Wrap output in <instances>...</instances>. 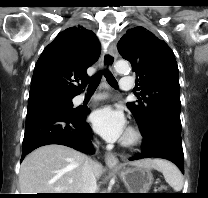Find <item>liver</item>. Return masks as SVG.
<instances>
[{"instance_id": "6515ba94", "label": "liver", "mask_w": 208, "mask_h": 198, "mask_svg": "<svg viewBox=\"0 0 208 198\" xmlns=\"http://www.w3.org/2000/svg\"><path fill=\"white\" fill-rule=\"evenodd\" d=\"M86 156L64 145H45L25 157L19 173L21 194L78 193ZM131 165L159 169L158 160L144 159ZM96 178L103 173V166L94 161Z\"/></svg>"}]
</instances>
